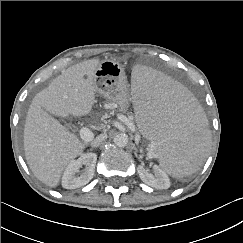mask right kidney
I'll use <instances>...</instances> for the list:
<instances>
[{"mask_svg":"<svg viewBox=\"0 0 243 243\" xmlns=\"http://www.w3.org/2000/svg\"><path fill=\"white\" fill-rule=\"evenodd\" d=\"M96 160L97 155L90 152L81 155L77 160L71 161L64 171L62 186L65 189H76L86 185L93 178ZM83 165L85 169L80 176H76Z\"/></svg>","mask_w":243,"mask_h":243,"instance_id":"ca27d5eb","label":"right kidney"}]
</instances>
